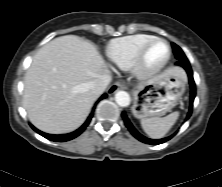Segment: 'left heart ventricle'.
<instances>
[{
  "mask_svg": "<svg viewBox=\"0 0 222 187\" xmlns=\"http://www.w3.org/2000/svg\"><path fill=\"white\" fill-rule=\"evenodd\" d=\"M167 55V46L163 43L155 44L148 54V63L151 66L161 63Z\"/></svg>",
  "mask_w": 222,
  "mask_h": 187,
  "instance_id": "b2bd125f",
  "label": "left heart ventricle"
}]
</instances>
